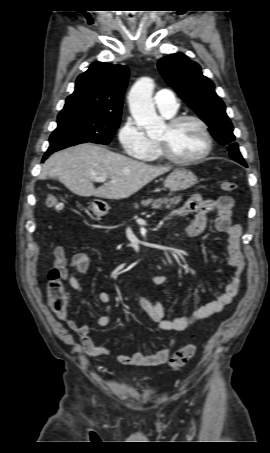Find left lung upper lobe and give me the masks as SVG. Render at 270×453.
<instances>
[{
  "label": "left lung upper lobe",
  "mask_w": 270,
  "mask_h": 453,
  "mask_svg": "<svg viewBox=\"0 0 270 453\" xmlns=\"http://www.w3.org/2000/svg\"><path fill=\"white\" fill-rule=\"evenodd\" d=\"M158 69L165 81L209 126L211 135L227 145L230 157L247 166L234 142L233 125L225 112L223 101L217 96L213 82L205 77L200 66L182 53L159 60Z\"/></svg>",
  "instance_id": "5c2ea615"
}]
</instances>
